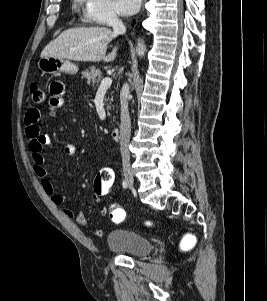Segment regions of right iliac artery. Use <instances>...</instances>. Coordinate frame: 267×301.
Here are the masks:
<instances>
[{
  "instance_id": "obj_1",
  "label": "right iliac artery",
  "mask_w": 267,
  "mask_h": 301,
  "mask_svg": "<svg viewBox=\"0 0 267 301\" xmlns=\"http://www.w3.org/2000/svg\"><path fill=\"white\" fill-rule=\"evenodd\" d=\"M122 186H123V188H127V186H128V185H127V182H126V181H123V182H122Z\"/></svg>"
}]
</instances>
